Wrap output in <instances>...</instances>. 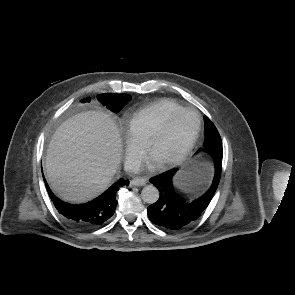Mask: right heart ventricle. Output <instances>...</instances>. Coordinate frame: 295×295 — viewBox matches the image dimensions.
I'll use <instances>...</instances> for the list:
<instances>
[{
    "label": "right heart ventricle",
    "mask_w": 295,
    "mask_h": 295,
    "mask_svg": "<svg viewBox=\"0 0 295 295\" xmlns=\"http://www.w3.org/2000/svg\"><path fill=\"white\" fill-rule=\"evenodd\" d=\"M181 109L183 107L176 101L159 100L130 116L127 120L129 133L145 146L164 122Z\"/></svg>",
    "instance_id": "1"
}]
</instances>
